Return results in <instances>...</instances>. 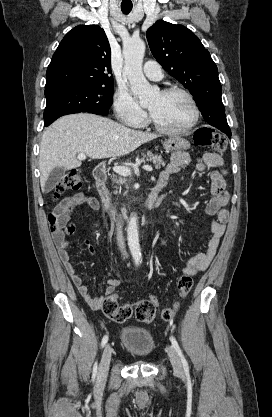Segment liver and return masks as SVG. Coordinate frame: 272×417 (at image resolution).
Instances as JSON below:
<instances>
[{"instance_id": "obj_1", "label": "liver", "mask_w": 272, "mask_h": 417, "mask_svg": "<svg viewBox=\"0 0 272 417\" xmlns=\"http://www.w3.org/2000/svg\"><path fill=\"white\" fill-rule=\"evenodd\" d=\"M157 137L94 114L61 117L42 136L39 154L41 189L44 191L54 168L69 170L81 166L77 154L83 153L92 159L120 157Z\"/></svg>"}]
</instances>
